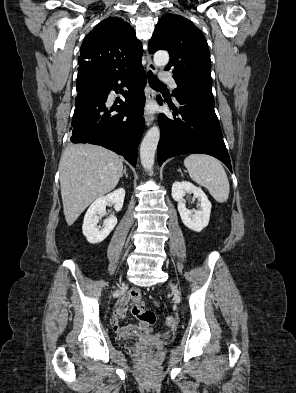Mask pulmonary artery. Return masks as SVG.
<instances>
[{
	"label": "pulmonary artery",
	"instance_id": "e3ab8cb5",
	"mask_svg": "<svg viewBox=\"0 0 296 393\" xmlns=\"http://www.w3.org/2000/svg\"><path fill=\"white\" fill-rule=\"evenodd\" d=\"M161 81L170 85L171 88L175 89L177 87L175 80L169 74H164L161 77Z\"/></svg>",
	"mask_w": 296,
	"mask_h": 393
}]
</instances>
